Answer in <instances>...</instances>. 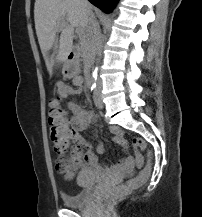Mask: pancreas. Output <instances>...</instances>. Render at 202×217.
<instances>
[{
    "label": "pancreas",
    "instance_id": "1",
    "mask_svg": "<svg viewBox=\"0 0 202 217\" xmlns=\"http://www.w3.org/2000/svg\"><path fill=\"white\" fill-rule=\"evenodd\" d=\"M78 51L81 53V57L85 64L91 61L93 56V45L91 36L87 30L79 34Z\"/></svg>",
    "mask_w": 202,
    "mask_h": 217
}]
</instances>
